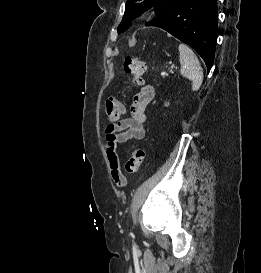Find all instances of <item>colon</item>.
Here are the masks:
<instances>
[{
	"mask_svg": "<svg viewBox=\"0 0 261 273\" xmlns=\"http://www.w3.org/2000/svg\"><path fill=\"white\" fill-rule=\"evenodd\" d=\"M123 69L130 76L131 85H140L143 82V75L146 69L145 63L139 57L128 56L124 59ZM124 114L123 104L114 97H110L105 102V116L111 122H116ZM145 153L142 149H135L125 165V170L129 174L137 173L144 160ZM119 186H124V181L119 179Z\"/></svg>",
	"mask_w": 261,
	"mask_h": 273,
	"instance_id": "5ec220e1",
	"label": "colon"
}]
</instances>
